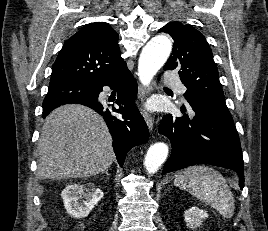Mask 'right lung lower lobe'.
<instances>
[{
    "label": "right lung lower lobe",
    "instance_id": "98d812e1",
    "mask_svg": "<svg viewBox=\"0 0 268 231\" xmlns=\"http://www.w3.org/2000/svg\"><path fill=\"white\" fill-rule=\"evenodd\" d=\"M103 86H109L117 91L115 103L119 108L98 100ZM91 89L93 93L91 97L68 101L60 105L68 103L83 104L99 113L112 135L114 152L119 165L122 167L127 152L136 145L146 143L149 138L147 125L134 104L137 96V83L125 64L105 80L92 86ZM60 105L48 110L43 109V118ZM114 112L122 114L123 118H116L113 115Z\"/></svg>",
    "mask_w": 268,
    "mask_h": 231
}]
</instances>
